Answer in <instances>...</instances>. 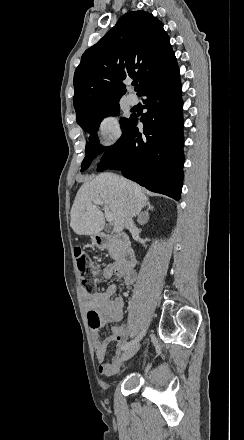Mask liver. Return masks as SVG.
<instances>
[{
    "instance_id": "obj_1",
    "label": "liver",
    "mask_w": 244,
    "mask_h": 440,
    "mask_svg": "<svg viewBox=\"0 0 244 440\" xmlns=\"http://www.w3.org/2000/svg\"><path fill=\"white\" fill-rule=\"evenodd\" d=\"M94 200H102L105 208L112 212L117 234L126 228L127 214L133 218L149 204L138 184L111 172L99 174L91 182H84L73 202L70 226L79 236H96L104 230V214L94 206Z\"/></svg>"
}]
</instances>
